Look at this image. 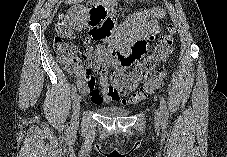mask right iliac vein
<instances>
[{"label": "right iliac vein", "instance_id": "63e3f726", "mask_svg": "<svg viewBox=\"0 0 227 157\" xmlns=\"http://www.w3.org/2000/svg\"><path fill=\"white\" fill-rule=\"evenodd\" d=\"M81 97L76 94L73 101V120L77 121L80 111Z\"/></svg>", "mask_w": 227, "mask_h": 157}]
</instances>
